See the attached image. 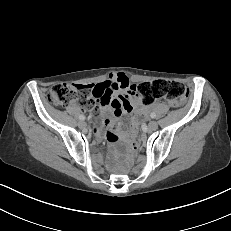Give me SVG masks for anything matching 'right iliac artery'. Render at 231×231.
I'll list each match as a JSON object with an SVG mask.
<instances>
[{
    "label": "right iliac artery",
    "instance_id": "right-iliac-artery-1",
    "mask_svg": "<svg viewBox=\"0 0 231 231\" xmlns=\"http://www.w3.org/2000/svg\"><path fill=\"white\" fill-rule=\"evenodd\" d=\"M79 119H80L81 121H83V120H85V116L80 115V116H79Z\"/></svg>",
    "mask_w": 231,
    "mask_h": 231
}]
</instances>
